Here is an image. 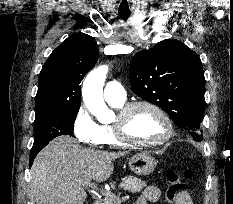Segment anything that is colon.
Segmentation results:
<instances>
[{"mask_svg": "<svg viewBox=\"0 0 233 204\" xmlns=\"http://www.w3.org/2000/svg\"><path fill=\"white\" fill-rule=\"evenodd\" d=\"M191 176V172L187 171L181 177L175 170L168 169L165 173L166 180L168 182L167 199L169 201H175L180 195L186 192V184L183 178L187 179Z\"/></svg>", "mask_w": 233, "mask_h": 204, "instance_id": "colon-1", "label": "colon"}]
</instances>
